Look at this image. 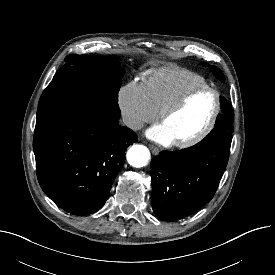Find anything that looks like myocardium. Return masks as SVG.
<instances>
[{
  "instance_id": "1",
  "label": "myocardium",
  "mask_w": 275,
  "mask_h": 275,
  "mask_svg": "<svg viewBox=\"0 0 275 275\" xmlns=\"http://www.w3.org/2000/svg\"><path fill=\"white\" fill-rule=\"evenodd\" d=\"M202 91H210L214 94L215 107H214L213 113L209 121L207 122V124L197 134L187 139L173 141V144L177 147L186 148V147L193 146L199 143L200 141H202L212 131L221 110V95L219 91L216 88L209 85H201V86L194 87L186 91L177 100H175L169 106L164 108L159 114V120L162 123L169 116L179 111L188 102V100L191 97H193L195 94Z\"/></svg>"
}]
</instances>
